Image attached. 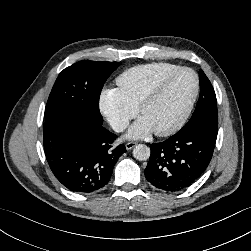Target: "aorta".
Here are the masks:
<instances>
[{"label": "aorta", "mask_w": 251, "mask_h": 251, "mask_svg": "<svg viewBox=\"0 0 251 251\" xmlns=\"http://www.w3.org/2000/svg\"><path fill=\"white\" fill-rule=\"evenodd\" d=\"M133 156L139 161H146L150 157V148L144 144H138L133 149Z\"/></svg>", "instance_id": "1"}]
</instances>
